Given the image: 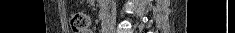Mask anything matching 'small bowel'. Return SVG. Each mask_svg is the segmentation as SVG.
Wrapping results in <instances>:
<instances>
[{"mask_svg":"<svg viewBox=\"0 0 235 33\" xmlns=\"http://www.w3.org/2000/svg\"><path fill=\"white\" fill-rule=\"evenodd\" d=\"M86 33H92V31H91V30H88Z\"/></svg>","mask_w":235,"mask_h":33,"instance_id":"1","label":"small bowel"}]
</instances>
